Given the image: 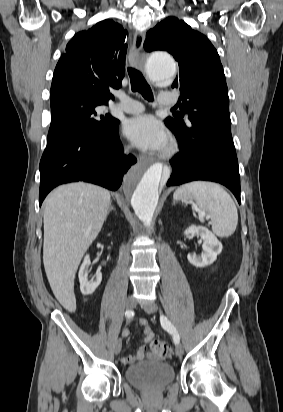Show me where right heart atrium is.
I'll return each mask as SVG.
<instances>
[{
	"label": "right heart atrium",
	"instance_id": "d8ad5b80",
	"mask_svg": "<svg viewBox=\"0 0 283 412\" xmlns=\"http://www.w3.org/2000/svg\"><path fill=\"white\" fill-rule=\"evenodd\" d=\"M125 150H126V151H129V147H126Z\"/></svg>",
	"mask_w": 283,
	"mask_h": 412
}]
</instances>
